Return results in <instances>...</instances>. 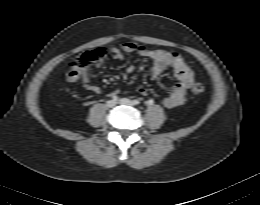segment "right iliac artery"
I'll list each match as a JSON object with an SVG mask.
<instances>
[{
  "mask_svg": "<svg viewBox=\"0 0 260 205\" xmlns=\"http://www.w3.org/2000/svg\"><path fill=\"white\" fill-rule=\"evenodd\" d=\"M117 99H118V97H117L116 95H113V96H112V100H113V101H116Z\"/></svg>",
  "mask_w": 260,
  "mask_h": 205,
  "instance_id": "82829eb1",
  "label": "right iliac artery"
}]
</instances>
